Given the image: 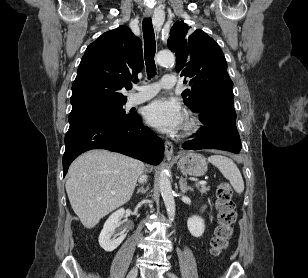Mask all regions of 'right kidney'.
<instances>
[{
    "instance_id": "right-kidney-1",
    "label": "right kidney",
    "mask_w": 308,
    "mask_h": 278,
    "mask_svg": "<svg viewBox=\"0 0 308 278\" xmlns=\"http://www.w3.org/2000/svg\"><path fill=\"white\" fill-rule=\"evenodd\" d=\"M125 214L124 209L114 212L105 222L103 229L99 235V244L106 252L115 250L125 239L126 235H121L117 239H111L112 233L120 225V220Z\"/></svg>"
}]
</instances>
